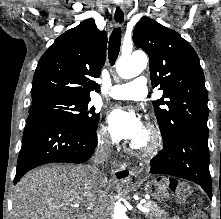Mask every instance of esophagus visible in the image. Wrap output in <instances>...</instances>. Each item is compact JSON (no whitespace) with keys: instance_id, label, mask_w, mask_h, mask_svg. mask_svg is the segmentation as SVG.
Instances as JSON below:
<instances>
[{"instance_id":"1","label":"esophagus","mask_w":221,"mask_h":219,"mask_svg":"<svg viewBox=\"0 0 221 219\" xmlns=\"http://www.w3.org/2000/svg\"><path fill=\"white\" fill-rule=\"evenodd\" d=\"M126 19L125 10L120 4H116L113 10V22L116 27H122Z\"/></svg>"}]
</instances>
